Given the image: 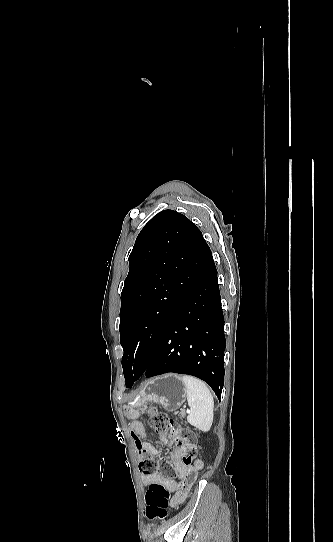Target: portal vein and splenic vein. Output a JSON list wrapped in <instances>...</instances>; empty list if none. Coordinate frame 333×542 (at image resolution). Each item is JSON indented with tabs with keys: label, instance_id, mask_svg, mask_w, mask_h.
<instances>
[{
	"label": "portal vein and splenic vein",
	"instance_id": "1",
	"mask_svg": "<svg viewBox=\"0 0 333 542\" xmlns=\"http://www.w3.org/2000/svg\"><path fill=\"white\" fill-rule=\"evenodd\" d=\"M186 412H190V410H186Z\"/></svg>",
	"mask_w": 333,
	"mask_h": 542
}]
</instances>
